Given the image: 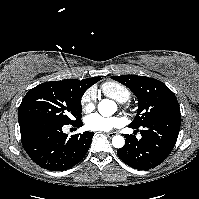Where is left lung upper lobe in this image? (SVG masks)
<instances>
[{"label":"left lung upper lobe","mask_w":199,"mask_h":199,"mask_svg":"<svg viewBox=\"0 0 199 199\" xmlns=\"http://www.w3.org/2000/svg\"><path fill=\"white\" fill-rule=\"evenodd\" d=\"M111 78L130 88L138 99V112L129 126L139 128L162 116L180 114L175 94L163 82L137 75Z\"/></svg>","instance_id":"obj_1"}]
</instances>
